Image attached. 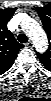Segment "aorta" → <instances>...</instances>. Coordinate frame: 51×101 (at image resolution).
I'll return each instance as SVG.
<instances>
[{
    "label": "aorta",
    "instance_id": "aorta-1",
    "mask_svg": "<svg viewBox=\"0 0 51 101\" xmlns=\"http://www.w3.org/2000/svg\"><path fill=\"white\" fill-rule=\"evenodd\" d=\"M22 30L30 37L33 41L35 48L38 52H45L48 45V40L44 30L32 18H27L21 25Z\"/></svg>",
    "mask_w": 51,
    "mask_h": 101
}]
</instances>
